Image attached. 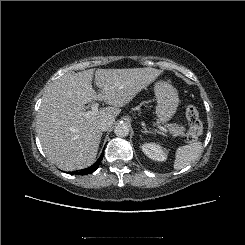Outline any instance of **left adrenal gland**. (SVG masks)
Segmentation results:
<instances>
[{"instance_id": "obj_1", "label": "left adrenal gland", "mask_w": 245, "mask_h": 245, "mask_svg": "<svg viewBox=\"0 0 245 245\" xmlns=\"http://www.w3.org/2000/svg\"><path fill=\"white\" fill-rule=\"evenodd\" d=\"M142 128H143V130H141L142 133H145V134L152 133L150 130L148 131L146 127H142Z\"/></svg>"}]
</instances>
